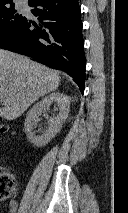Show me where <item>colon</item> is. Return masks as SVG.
Returning a JSON list of instances; mask_svg holds the SVG:
<instances>
[{"label":"colon","instance_id":"colon-1","mask_svg":"<svg viewBox=\"0 0 128 213\" xmlns=\"http://www.w3.org/2000/svg\"><path fill=\"white\" fill-rule=\"evenodd\" d=\"M9 128L0 123V134H5ZM17 193V182L13 175L7 171L0 172V200L8 199Z\"/></svg>","mask_w":128,"mask_h":213}]
</instances>
